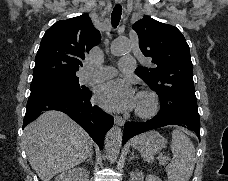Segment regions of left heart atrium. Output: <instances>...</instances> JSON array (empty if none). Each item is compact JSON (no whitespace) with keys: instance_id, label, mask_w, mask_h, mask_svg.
Instances as JSON below:
<instances>
[{"instance_id":"obj_1","label":"left heart atrium","mask_w":228,"mask_h":181,"mask_svg":"<svg viewBox=\"0 0 228 181\" xmlns=\"http://www.w3.org/2000/svg\"><path fill=\"white\" fill-rule=\"evenodd\" d=\"M101 101L113 110L123 111L133 105L132 85L122 79H113L100 90Z\"/></svg>"}]
</instances>
